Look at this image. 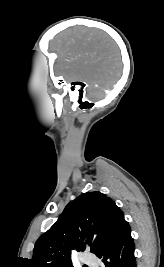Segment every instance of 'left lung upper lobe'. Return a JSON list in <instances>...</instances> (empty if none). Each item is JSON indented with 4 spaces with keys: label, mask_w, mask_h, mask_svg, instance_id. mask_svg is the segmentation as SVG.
I'll return each instance as SVG.
<instances>
[{
    "label": "left lung upper lobe",
    "mask_w": 164,
    "mask_h": 267,
    "mask_svg": "<svg viewBox=\"0 0 164 267\" xmlns=\"http://www.w3.org/2000/svg\"><path fill=\"white\" fill-rule=\"evenodd\" d=\"M125 222L123 212L111 198L98 191L83 193L38 238L30 265L73 267V251L89 249L99 254Z\"/></svg>",
    "instance_id": "5c2ea615"
}]
</instances>
